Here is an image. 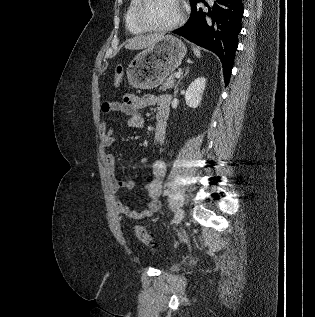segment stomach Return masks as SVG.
<instances>
[{
	"label": "stomach",
	"instance_id": "obj_1",
	"mask_svg": "<svg viewBox=\"0 0 315 317\" xmlns=\"http://www.w3.org/2000/svg\"><path fill=\"white\" fill-rule=\"evenodd\" d=\"M184 43L166 35L153 46L139 52L127 68L129 84L137 89H152L159 86L181 64L186 55Z\"/></svg>",
	"mask_w": 315,
	"mask_h": 317
}]
</instances>
